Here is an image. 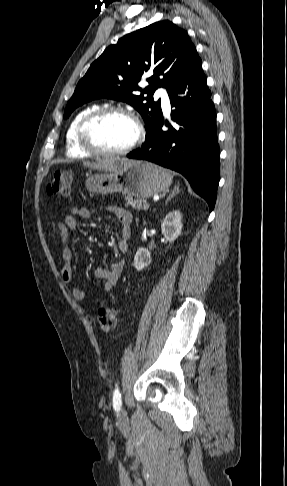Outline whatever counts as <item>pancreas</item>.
<instances>
[{
  "label": "pancreas",
  "instance_id": "cf45deb5",
  "mask_svg": "<svg viewBox=\"0 0 287 486\" xmlns=\"http://www.w3.org/2000/svg\"><path fill=\"white\" fill-rule=\"evenodd\" d=\"M125 201H126V206H131L133 209H136L137 211H140L143 209V205L145 203H147L145 200L143 199H133L132 197H126L125 198Z\"/></svg>",
  "mask_w": 287,
  "mask_h": 486
}]
</instances>
